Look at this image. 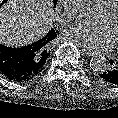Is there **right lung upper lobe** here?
<instances>
[{"label":"right lung upper lobe","mask_w":118,"mask_h":118,"mask_svg":"<svg viewBox=\"0 0 118 118\" xmlns=\"http://www.w3.org/2000/svg\"><path fill=\"white\" fill-rule=\"evenodd\" d=\"M56 37L54 30H51L43 39L38 40L31 44V49L35 52L36 56V69L42 71L44 69L46 59L49 55V46L53 38Z\"/></svg>","instance_id":"1"}]
</instances>
